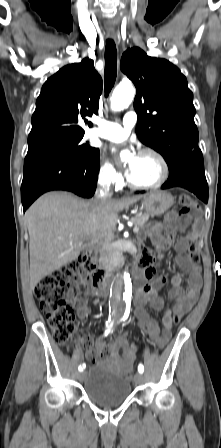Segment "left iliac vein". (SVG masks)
I'll use <instances>...</instances> for the list:
<instances>
[{"label":"left iliac vein","mask_w":221,"mask_h":448,"mask_svg":"<svg viewBox=\"0 0 221 448\" xmlns=\"http://www.w3.org/2000/svg\"><path fill=\"white\" fill-rule=\"evenodd\" d=\"M142 381H143V376H142V374H141V373H137V374L134 376V382H135V384H136V385H139L140 383H142Z\"/></svg>","instance_id":"obj_1"}]
</instances>
